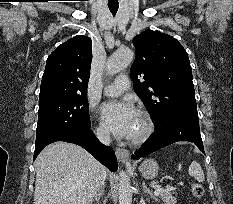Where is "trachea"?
<instances>
[{
  "label": "trachea",
  "instance_id": "obj_1",
  "mask_svg": "<svg viewBox=\"0 0 233 204\" xmlns=\"http://www.w3.org/2000/svg\"><path fill=\"white\" fill-rule=\"evenodd\" d=\"M108 7H109L111 13L113 15H115L117 13V11H118L119 5H109Z\"/></svg>",
  "mask_w": 233,
  "mask_h": 204
}]
</instances>
